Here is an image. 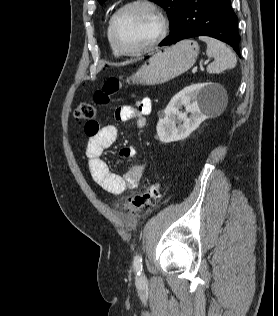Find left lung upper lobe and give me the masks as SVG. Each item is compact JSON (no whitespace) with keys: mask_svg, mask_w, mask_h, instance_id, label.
<instances>
[{"mask_svg":"<svg viewBox=\"0 0 278 316\" xmlns=\"http://www.w3.org/2000/svg\"><path fill=\"white\" fill-rule=\"evenodd\" d=\"M100 3H103L105 0H98ZM165 9L168 14V18L171 24V31L174 29L179 14L181 12L183 3L185 0H151Z\"/></svg>","mask_w":278,"mask_h":316,"instance_id":"left-lung-upper-lobe-1","label":"left lung upper lobe"}]
</instances>
